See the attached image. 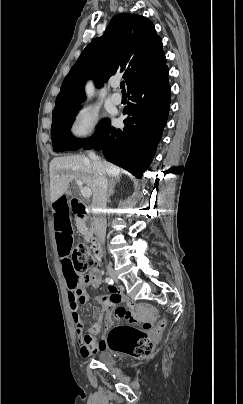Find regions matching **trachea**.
<instances>
[{"instance_id":"trachea-1","label":"trachea","mask_w":243,"mask_h":404,"mask_svg":"<svg viewBox=\"0 0 243 404\" xmlns=\"http://www.w3.org/2000/svg\"><path fill=\"white\" fill-rule=\"evenodd\" d=\"M120 88H121L123 91H125V82H121V83H120Z\"/></svg>"}]
</instances>
